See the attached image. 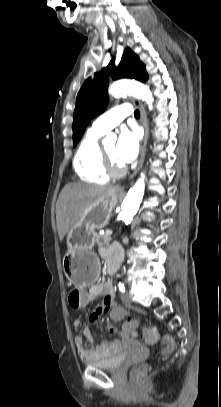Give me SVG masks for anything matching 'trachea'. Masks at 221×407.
<instances>
[{
  "mask_svg": "<svg viewBox=\"0 0 221 407\" xmlns=\"http://www.w3.org/2000/svg\"><path fill=\"white\" fill-rule=\"evenodd\" d=\"M134 117H135V118H139V117H140V112H139L138 110H136V111L134 112Z\"/></svg>",
  "mask_w": 221,
  "mask_h": 407,
  "instance_id": "obj_1",
  "label": "trachea"
}]
</instances>
